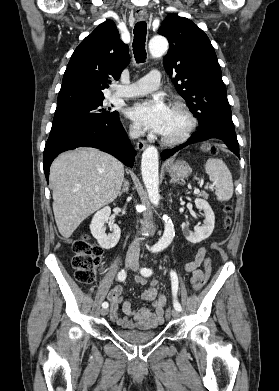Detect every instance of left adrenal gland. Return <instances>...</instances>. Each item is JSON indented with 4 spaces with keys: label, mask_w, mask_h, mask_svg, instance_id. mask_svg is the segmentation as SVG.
<instances>
[{
    "label": "left adrenal gland",
    "mask_w": 279,
    "mask_h": 391,
    "mask_svg": "<svg viewBox=\"0 0 279 391\" xmlns=\"http://www.w3.org/2000/svg\"><path fill=\"white\" fill-rule=\"evenodd\" d=\"M170 183H173V184H181L178 180L175 179V177L171 176V180H170Z\"/></svg>",
    "instance_id": "1"
}]
</instances>
